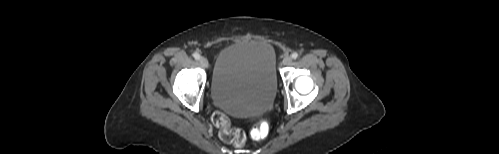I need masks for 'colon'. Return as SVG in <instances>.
<instances>
[{
	"mask_svg": "<svg viewBox=\"0 0 499 154\" xmlns=\"http://www.w3.org/2000/svg\"><path fill=\"white\" fill-rule=\"evenodd\" d=\"M212 122L220 129V137L227 143L234 144L237 147L243 146L246 142V133L231 126L230 120L226 114L221 111H215L212 115ZM268 134V126L265 124L260 125L252 131L253 138H263Z\"/></svg>",
	"mask_w": 499,
	"mask_h": 154,
	"instance_id": "5ec220e1",
	"label": "colon"
}]
</instances>
